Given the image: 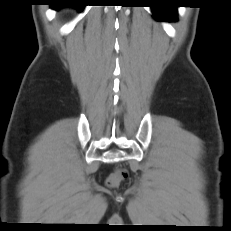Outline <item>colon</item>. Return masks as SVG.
<instances>
[{
	"label": "colon",
	"mask_w": 231,
	"mask_h": 231,
	"mask_svg": "<svg viewBox=\"0 0 231 231\" xmlns=\"http://www.w3.org/2000/svg\"><path fill=\"white\" fill-rule=\"evenodd\" d=\"M126 177V172L123 170H117L113 174L109 176L107 179V184L109 186H117L121 180H123Z\"/></svg>",
	"instance_id": "obj_1"
}]
</instances>
